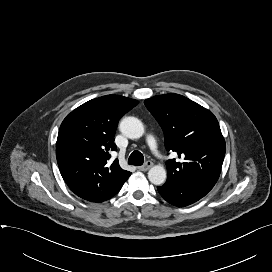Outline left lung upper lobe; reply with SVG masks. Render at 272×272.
Returning a JSON list of instances; mask_svg holds the SVG:
<instances>
[{
  "mask_svg": "<svg viewBox=\"0 0 272 272\" xmlns=\"http://www.w3.org/2000/svg\"><path fill=\"white\" fill-rule=\"evenodd\" d=\"M144 104L163 129L166 150L176 152L180 158L166 162V183L192 180L215 185L226 151L216 117L179 94L154 96Z\"/></svg>",
  "mask_w": 272,
  "mask_h": 272,
  "instance_id": "obj_1",
  "label": "left lung upper lobe"
}]
</instances>
